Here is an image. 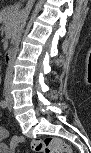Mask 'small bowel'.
I'll return each instance as SVG.
<instances>
[{
  "mask_svg": "<svg viewBox=\"0 0 91 153\" xmlns=\"http://www.w3.org/2000/svg\"><path fill=\"white\" fill-rule=\"evenodd\" d=\"M8 137V132L5 129H0V151L3 153H10L14 152L15 150V143L18 139H21L19 137H14L11 140V144L4 143V140Z\"/></svg>",
  "mask_w": 91,
  "mask_h": 153,
  "instance_id": "obj_1",
  "label": "small bowel"
}]
</instances>
